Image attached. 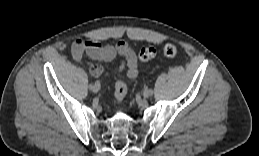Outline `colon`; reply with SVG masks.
I'll return each instance as SVG.
<instances>
[{
    "label": "colon",
    "mask_w": 259,
    "mask_h": 156,
    "mask_svg": "<svg viewBox=\"0 0 259 156\" xmlns=\"http://www.w3.org/2000/svg\"><path fill=\"white\" fill-rule=\"evenodd\" d=\"M177 48L174 44L168 43L162 49V55L166 58L176 56ZM156 55L153 47H144L139 52V58L143 62L150 61ZM127 95V85L123 80H118L115 84V96L119 102H122Z\"/></svg>",
    "instance_id": "colon-1"
}]
</instances>
